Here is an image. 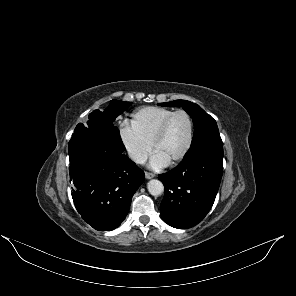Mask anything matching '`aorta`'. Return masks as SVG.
<instances>
[{"instance_id":"aorta-1","label":"aorta","mask_w":296,"mask_h":296,"mask_svg":"<svg viewBox=\"0 0 296 296\" xmlns=\"http://www.w3.org/2000/svg\"><path fill=\"white\" fill-rule=\"evenodd\" d=\"M148 191L153 196H160L164 191L163 183L157 179H152L147 184Z\"/></svg>"}]
</instances>
